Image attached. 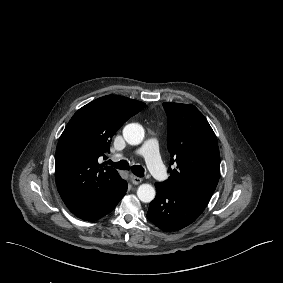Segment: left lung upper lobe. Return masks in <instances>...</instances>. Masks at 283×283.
I'll return each instance as SVG.
<instances>
[{"label":"left lung upper lobe","instance_id":"obj_1","mask_svg":"<svg viewBox=\"0 0 283 283\" xmlns=\"http://www.w3.org/2000/svg\"><path fill=\"white\" fill-rule=\"evenodd\" d=\"M168 118L170 177L161 184L209 202L220 176L217 138L193 105L163 103Z\"/></svg>","mask_w":283,"mask_h":283}]
</instances>
